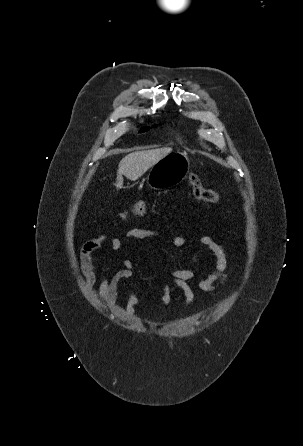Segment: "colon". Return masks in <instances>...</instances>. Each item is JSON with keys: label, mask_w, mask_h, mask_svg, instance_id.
Returning <instances> with one entry per match:
<instances>
[{"label": "colon", "mask_w": 303, "mask_h": 446, "mask_svg": "<svg viewBox=\"0 0 303 446\" xmlns=\"http://www.w3.org/2000/svg\"><path fill=\"white\" fill-rule=\"evenodd\" d=\"M188 183L191 187L192 193L198 200L209 202V203H216L219 201V195L216 191L207 188L203 185L200 178L194 174L189 173L187 176ZM149 208V201L148 200H142L135 204L132 208H130L127 211H124L120 214V218L123 221H128L131 218H135L138 216L143 215L147 209Z\"/></svg>", "instance_id": "colon-1"}]
</instances>
